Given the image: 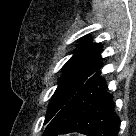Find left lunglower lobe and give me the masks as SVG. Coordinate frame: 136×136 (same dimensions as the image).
Here are the masks:
<instances>
[{
    "instance_id": "obj_1",
    "label": "left lung lower lobe",
    "mask_w": 136,
    "mask_h": 136,
    "mask_svg": "<svg viewBox=\"0 0 136 136\" xmlns=\"http://www.w3.org/2000/svg\"><path fill=\"white\" fill-rule=\"evenodd\" d=\"M104 80L96 71L73 98L51 119L44 136L79 132L87 136H116L118 117Z\"/></svg>"
}]
</instances>
